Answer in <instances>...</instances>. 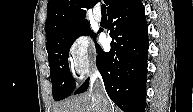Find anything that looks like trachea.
<instances>
[{
  "instance_id": "trachea-1",
  "label": "trachea",
  "mask_w": 193,
  "mask_h": 112,
  "mask_svg": "<svg viewBox=\"0 0 193 112\" xmlns=\"http://www.w3.org/2000/svg\"><path fill=\"white\" fill-rule=\"evenodd\" d=\"M101 11L102 14H106V6L104 4L101 6Z\"/></svg>"
}]
</instances>
